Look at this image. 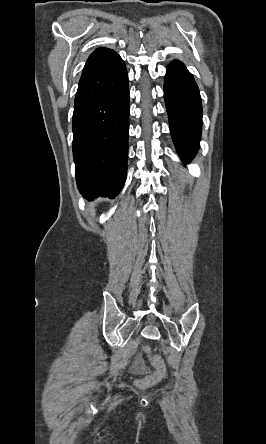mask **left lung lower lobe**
<instances>
[{
  "mask_svg": "<svg viewBox=\"0 0 266 444\" xmlns=\"http://www.w3.org/2000/svg\"><path fill=\"white\" fill-rule=\"evenodd\" d=\"M164 99L177 152L182 160L189 161L199 147L202 105L198 86L180 61L175 60L167 67Z\"/></svg>",
  "mask_w": 266,
  "mask_h": 444,
  "instance_id": "1",
  "label": "left lung lower lobe"
}]
</instances>
